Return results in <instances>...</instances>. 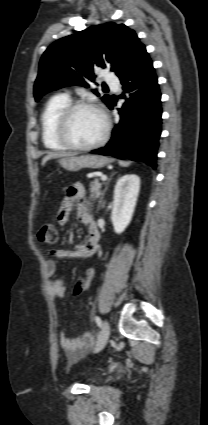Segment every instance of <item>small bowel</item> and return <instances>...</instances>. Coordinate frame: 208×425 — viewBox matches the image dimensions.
I'll use <instances>...</instances> for the list:
<instances>
[{"mask_svg": "<svg viewBox=\"0 0 208 425\" xmlns=\"http://www.w3.org/2000/svg\"><path fill=\"white\" fill-rule=\"evenodd\" d=\"M85 188L83 184L77 183L71 185L66 192L62 201L57 219L61 225L69 221L74 206L77 205L78 220L89 227V235L87 241L77 244L74 249H58L52 253L58 260L65 258L85 259L96 253L99 242V231L93 216L89 212L88 204L84 199ZM47 275L49 279L48 291L51 297L55 299L63 298L66 294L67 287L63 280L57 277V262L55 260L47 261ZM91 342L90 335L84 333L77 338H69L64 334L60 336V345L72 360L78 359L83 355L86 348Z\"/></svg>", "mask_w": 208, "mask_h": 425, "instance_id": "1", "label": "small bowel"}]
</instances>
